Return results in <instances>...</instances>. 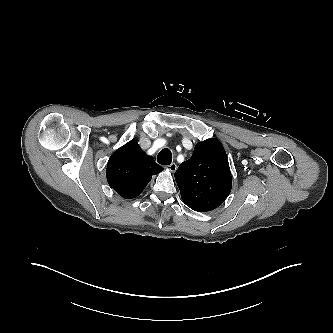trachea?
Wrapping results in <instances>:
<instances>
[{"mask_svg":"<svg viewBox=\"0 0 333 333\" xmlns=\"http://www.w3.org/2000/svg\"><path fill=\"white\" fill-rule=\"evenodd\" d=\"M157 162L161 165H170L172 162V153L168 148L162 149L158 156Z\"/></svg>","mask_w":333,"mask_h":333,"instance_id":"obj_1","label":"trachea"}]
</instances>
